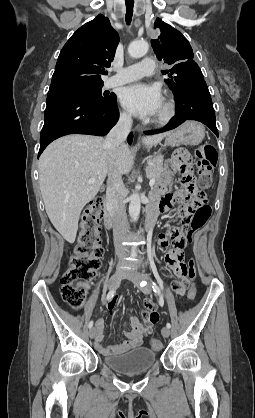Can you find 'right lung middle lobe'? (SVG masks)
<instances>
[{
    "label": "right lung middle lobe",
    "instance_id": "1",
    "mask_svg": "<svg viewBox=\"0 0 255 418\" xmlns=\"http://www.w3.org/2000/svg\"><path fill=\"white\" fill-rule=\"evenodd\" d=\"M103 82L99 83H88V82H75L68 84H61L51 86L48 94L55 93H75L85 95L94 99H98L102 102H109L113 99L114 94L102 93Z\"/></svg>",
    "mask_w": 255,
    "mask_h": 418
}]
</instances>
